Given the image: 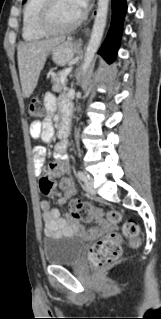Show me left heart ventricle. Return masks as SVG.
I'll return each mask as SVG.
<instances>
[{"label": "left heart ventricle", "mask_w": 161, "mask_h": 319, "mask_svg": "<svg viewBox=\"0 0 161 319\" xmlns=\"http://www.w3.org/2000/svg\"><path fill=\"white\" fill-rule=\"evenodd\" d=\"M81 13L74 0H57L52 13V23L56 27H65Z\"/></svg>", "instance_id": "left-heart-ventricle-1"}]
</instances>
